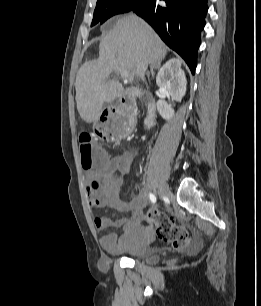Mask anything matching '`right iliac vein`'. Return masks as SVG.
<instances>
[{"label":"right iliac vein","mask_w":261,"mask_h":306,"mask_svg":"<svg viewBox=\"0 0 261 306\" xmlns=\"http://www.w3.org/2000/svg\"><path fill=\"white\" fill-rule=\"evenodd\" d=\"M160 198L163 199L169 195V187L166 183H162L159 187Z\"/></svg>","instance_id":"63e3f726"}]
</instances>
